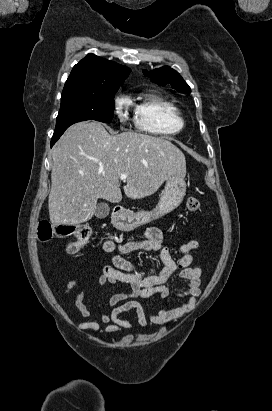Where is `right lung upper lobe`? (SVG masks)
<instances>
[{
  "mask_svg": "<svg viewBox=\"0 0 272 411\" xmlns=\"http://www.w3.org/2000/svg\"><path fill=\"white\" fill-rule=\"evenodd\" d=\"M130 71L125 66L94 54H88L73 67L63 92L87 91L101 86L121 85Z\"/></svg>",
  "mask_w": 272,
  "mask_h": 411,
  "instance_id": "obj_1",
  "label": "right lung upper lobe"
}]
</instances>
